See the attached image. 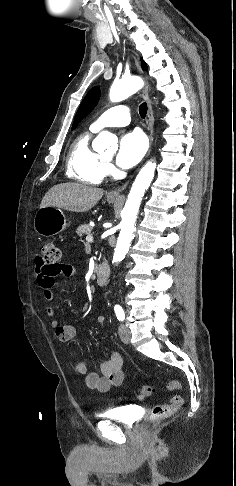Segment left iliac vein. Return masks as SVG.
Returning <instances> with one entry per match:
<instances>
[{
    "mask_svg": "<svg viewBox=\"0 0 236 486\" xmlns=\"http://www.w3.org/2000/svg\"><path fill=\"white\" fill-rule=\"evenodd\" d=\"M118 331L121 341L128 344L131 337L130 330L124 324H120Z\"/></svg>",
    "mask_w": 236,
    "mask_h": 486,
    "instance_id": "1",
    "label": "left iliac vein"
}]
</instances>
